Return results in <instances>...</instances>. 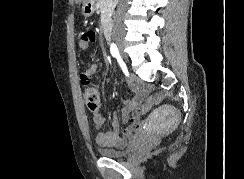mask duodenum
<instances>
[{"mask_svg": "<svg viewBox=\"0 0 244 179\" xmlns=\"http://www.w3.org/2000/svg\"><path fill=\"white\" fill-rule=\"evenodd\" d=\"M103 38L106 42H110L112 37H111V31H110V26L105 23V26L103 28V32H102Z\"/></svg>", "mask_w": 244, "mask_h": 179, "instance_id": "1", "label": "duodenum"}]
</instances>
